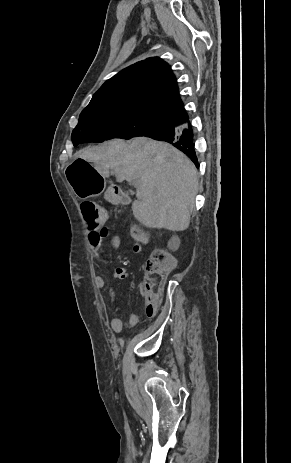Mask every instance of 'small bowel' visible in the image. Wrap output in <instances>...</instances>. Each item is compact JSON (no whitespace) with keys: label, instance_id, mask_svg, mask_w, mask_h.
Listing matches in <instances>:
<instances>
[{"label":"small bowel","instance_id":"1","mask_svg":"<svg viewBox=\"0 0 291 463\" xmlns=\"http://www.w3.org/2000/svg\"><path fill=\"white\" fill-rule=\"evenodd\" d=\"M108 235V228L104 227L99 231H89L87 234V243L90 248H92L95 252L96 257H99V252L102 246L104 239ZM121 243L120 237L115 235L111 239V244L114 248H119ZM142 250V244L140 242H136L133 245V251L135 253H139ZM116 280H124L127 277V270L123 266H118L115 268L111 275ZM96 285L98 287H103L105 285V279L103 277L96 278ZM148 317H152L146 313ZM130 323L132 325H136L139 322V316L134 312L130 313ZM123 322L120 316H115L111 321V328L115 333H120L122 330Z\"/></svg>","mask_w":291,"mask_h":463}]
</instances>
